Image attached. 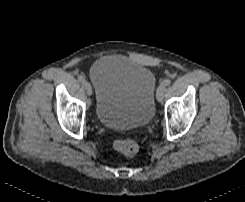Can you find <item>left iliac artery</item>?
<instances>
[{
  "instance_id": "44dca946",
  "label": "left iliac artery",
  "mask_w": 245,
  "mask_h": 202,
  "mask_svg": "<svg viewBox=\"0 0 245 202\" xmlns=\"http://www.w3.org/2000/svg\"><path fill=\"white\" fill-rule=\"evenodd\" d=\"M170 83H171V80L167 78V79L162 80L161 85L168 86L170 85Z\"/></svg>"
}]
</instances>
